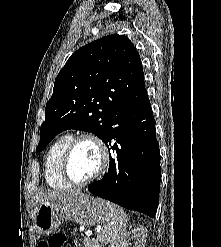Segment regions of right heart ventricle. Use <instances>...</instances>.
Wrapping results in <instances>:
<instances>
[{"label": "right heart ventricle", "instance_id": "obj_1", "mask_svg": "<svg viewBox=\"0 0 221 247\" xmlns=\"http://www.w3.org/2000/svg\"><path fill=\"white\" fill-rule=\"evenodd\" d=\"M72 138L70 134L58 137L49 147L45 157L46 182L58 190H65L71 186L61 175V160Z\"/></svg>", "mask_w": 221, "mask_h": 247}]
</instances>
